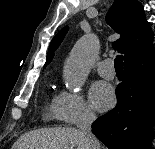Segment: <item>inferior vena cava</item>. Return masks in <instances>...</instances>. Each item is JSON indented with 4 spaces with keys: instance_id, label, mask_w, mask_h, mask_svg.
Here are the masks:
<instances>
[{
    "instance_id": "obj_1",
    "label": "inferior vena cava",
    "mask_w": 155,
    "mask_h": 149,
    "mask_svg": "<svg viewBox=\"0 0 155 149\" xmlns=\"http://www.w3.org/2000/svg\"><path fill=\"white\" fill-rule=\"evenodd\" d=\"M95 119L96 115L94 113L85 111L78 126L84 137L87 149H100V144L91 131V125Z\"/></svg>"
}]
</instances>
